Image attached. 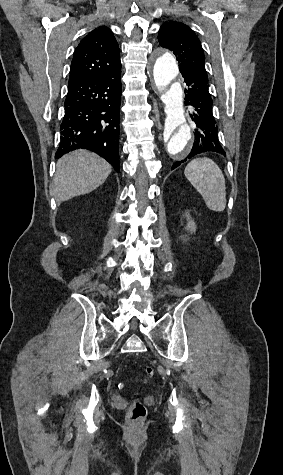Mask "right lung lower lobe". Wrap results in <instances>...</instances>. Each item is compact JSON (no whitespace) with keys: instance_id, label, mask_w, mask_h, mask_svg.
Here are the masks:
<instances>
[{"instance_id":"obj_1","label":"right lung lower lobe","mask_w":283,"mask_h":475,"mask_svg":"<svg viewBox=\"0 0 283 475\" xmlns=\"http://www.w3.org/2000/svg\"><path fill=\"white\" fill-rule=\"evenodd\" d=\"M121 87V71L69 81L55 157L84 148L105 158L119 172Z\"/></svg>"}]
</instances>
